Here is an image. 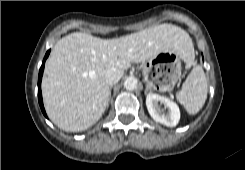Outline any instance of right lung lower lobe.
<instances>
[{
    "mask_svg": "<svg viewBox=\"0 0 245 170\" xmlns=\"http://www.w3.org/2000/svg\"><path fill=\"white\" fill-rule=\"evenodd\" d=\"M49 53H50V50L47 51V53L43 59L42 66L39 70V77H38V101H39L40 108H41L43 114L45 115V117H47V115H46V112H45V109L43 106V101H42L41 80H42V75H43V70H44V64H45L47 57L49 56Z\"/></svg>",
    "mask_w": 245,
    "mask_h": 170,
    "instance_id": "98d812e1",
    "label": "right lung lower lobe"
}]
</instances>
